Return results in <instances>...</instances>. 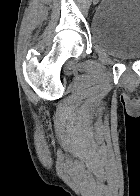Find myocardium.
I'll return each instance as SVG.
<instances>
[{
    "label": "myocardium",
    "mask_w": 140,
    "mask_h": 196,
    "mask_svg": "<svg viewBox=\"0 0 140 196\" xmlns=\"http://www.w3.org/2000/svg\"><path fill=\"white\" fill-rule=\"evenodd\" d=\"M87 192H105V191H87ZM119 192H125V191H119Z\"/></svg>",
    "instance_id": "1"
}]
</instances>
